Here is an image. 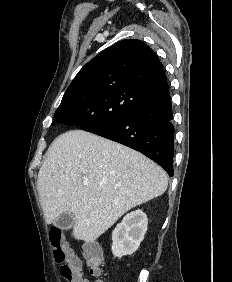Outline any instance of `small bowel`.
<instances>
[{
  "label": "small bowel",
  "instance_id": "c3829d8e",
  "mask_svg": "<svg viewBox=\"0 0 232 282\" xmlns=\"http://www.w3.org/2000/svg\"><path fill=\"white\" fill-rule=\"evenodd\" d=\"M71 254L73 255V256H75L72 252H71ZM76 257V256H75ZM77 258V257H76ZM77 260L78 261H80L78 258H77ZM78 282H90L88 279H86V278H84L83 277V274H82V277H81V279H80V281H78Z\"/></svg>",
  "mask_w": 232,
  "mask_h": 282
}]
</instances>
